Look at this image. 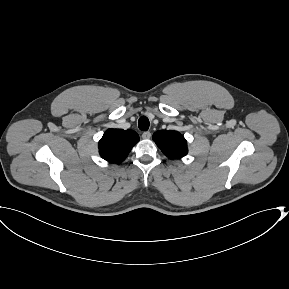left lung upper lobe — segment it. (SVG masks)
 Wrapping results in <instances>:
<instances>
[{
    "instance_id": "left-lung-upper-lobe-1",
    "label": "left lung upper lobe",
    "mask_w": 289,
    "mask_h": 289,
    "mask_svg": "<svg viewBox=\"0 0 289 289\" xmlns=\"http://www.w3.org/2000/svg\"><path fill=\"white\" fill-rule=\"evenodd\" d=\"M153 140L170 159L181 158L188 153L187 142L177 131H157L153 134Z\"/></svg>"
}]
</instances>
